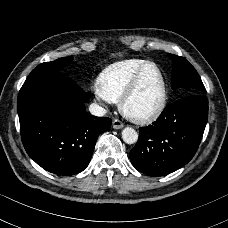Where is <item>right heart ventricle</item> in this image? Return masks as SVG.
Returning <instances> with one entry per match:
<instances>
[{"instance_id": "right-heart-ventricle-1", "label": "right heart ventricle", "mask_w": 228, "mask_h": 228, "mask_svg": "<svg viewBox=\"0 0 228 228\" xmlns=\"http://www.w3.org/2000/svg\"><path fill=\"white\" fill-rule=\"evenodd\" d=\"M153 63L145 59H124L108 65L97 79V91L110 102H119L137 72Z\"/></svg>"}]
</instances>
